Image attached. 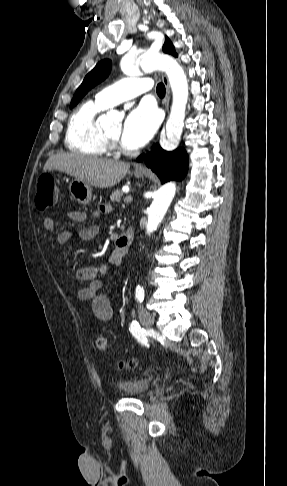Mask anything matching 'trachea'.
Here are the masks:
<instances>
[{"instance_id":"3493384b","label":"trachea","mask_w":287,"mask_h":486,"mask_svg":"<svg viewBox=\"0 0 287 486\" xmlns=\"http://www.w3.org/2000/svg\"><path fill=\"white\" fill-rule=\"evenodd\" d=\"M156 91H157V94H158L159 96H162V97H163V96H165L166 89H165L164 84L159 83V84L157 85Z\"/></svg>"}]
</instances>
